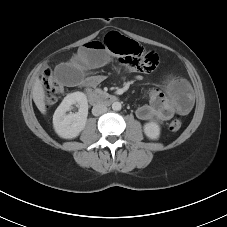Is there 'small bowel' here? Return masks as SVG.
Masks as SVG:
<instances>
[{"label": "small bowel", "instance_id": "c3829d8e", "mask_svg": "<svg viewBox=\"0 0 227 227\" xmlns=\"http://www.w3.org/2000/svg\"><path fill=\"white\" fill-rule=\"evenodd\" d=\"M101 40H93L79 48L68 63L60 65L55 71L56 80L64 87L93 88L100 84L102 75L85 76V71L104 66L110 55ZM116 65L119 69L137 73L142 64L130 57H121ZM148 103L136 110V115L143 121L162 123L173 117L175 113L187 114L193 107V96L188 83L181 78L169 77L165 81V92L152 88L147 91Z\"/></svg>", "mask_w": 227, "mask_h": 227}]
</instances>
